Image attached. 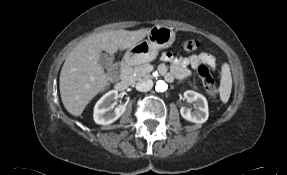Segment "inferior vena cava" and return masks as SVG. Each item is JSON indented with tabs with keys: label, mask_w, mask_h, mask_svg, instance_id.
Listing matches in <instances>:
<instances>
[{
	"label": "inferior vena cava",
	"mask_w": 287,
	"mask_h": 175,
	"mask_svg": "<svg viewBox=\"0 0 287 175\" xmlns=\"http://www.w3.org/2000/svg\"><path fill=\"white\" fill-rule=\"evenodd\" d=\"M153 87V81L150 79L140 81L136 85V89L140 92L149 91Z\"/></svg>",
	"instance_id": "1"
}]
</instances>
